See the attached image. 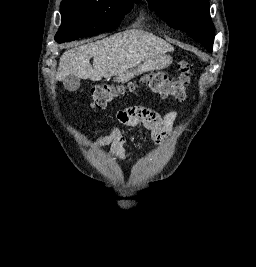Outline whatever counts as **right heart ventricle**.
<instances>
[{"label": "right heart ventricle", "mask_w": 256, "mask_h": 267, "mask_svg": "<svg viewBox=\"0 0 256 267\" xmlns=\"http://www.w3.org/2000/svg\"><path fill=\"white\" fill-rule=\"evenodd\" d=\"M130 28H143V27H130Z\"/></svg>", "instance_id": "e07e8e85"}]
</instances>
